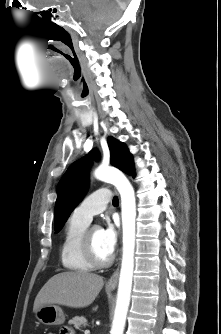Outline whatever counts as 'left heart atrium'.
Instances as JSON below:
<instances>
[{"label": "left heart atrium", "instance_id": "left-heart-atrium-1", "mask_svg": "<svg viewBox=\"0 0 221 334\" xmlns=\"http://www.w3.org/2000/svg\"><path fill=\"white\" fill-rule=\"evenodd\" d=\"M102 242L109 252H113L118 240V226L111 221H108L106 226L101 229Z\"/></svg>", "mask_w": 221, "mask_h": 334}]
</instances>
